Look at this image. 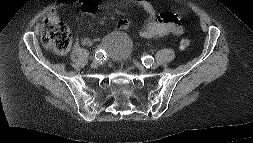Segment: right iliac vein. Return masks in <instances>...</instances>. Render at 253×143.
<instances>
[{"label": "right iliac vein", "instance_id": "right-iliac-vein-1", "mask_svg": "<svg viewBox=\"0 0 253 143\" xmlns=\"http://www.w3.org/2000/svg\"><path fill=\"white\" fill-rule=\"evenodd\" d=\"M97 66H98V62H97L96 60H94V61L92 62V64H91V67H92V68H97Z\"/></svg>", "mask_w": 253, "mask_h": 143}]
</instances>
